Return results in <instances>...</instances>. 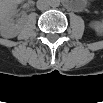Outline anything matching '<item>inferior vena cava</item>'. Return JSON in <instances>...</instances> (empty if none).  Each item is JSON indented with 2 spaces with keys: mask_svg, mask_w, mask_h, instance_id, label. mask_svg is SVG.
I'll list each match as a JSON object with an SVG mask.
<instances>
[{
  "mask_svg": "<svg viewBox=\"0 0 103 103\" xmlns=\"http://www.w3.org/2000/svg\"><path fill=\"white\" fill-rule=\"evenodd\" d=\"M50 4L46 0H38L37 1V8L39 10H47L49 8Z\"/></svg>",
  "mask_w": 103,
  "mask_h": 103,
  "instance_id": "obj_1",
  "label": "inferior vena cava"
}]
</instances>
